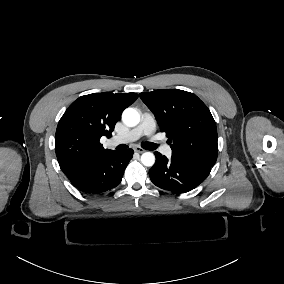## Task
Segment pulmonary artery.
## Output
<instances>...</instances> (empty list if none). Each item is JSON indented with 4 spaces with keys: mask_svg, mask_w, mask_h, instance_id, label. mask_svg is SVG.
Returning <instances> with one entry per match:
<instances>
[{
    "mask_svg": "<svg viewBox=\"0 0 284 284\" xmlns=\"http://www.w3.org/2000/svg\"><path fill=\"white\" fill-rule=\"evenodd\" d=\"M155 130V121L148 114H144L140 124L125 133L114 135L110 141L114 144L128 143L143 135H150Z\"/></svg>",
    "mask_w": 284,
    "mask_h": 284,
    "instance_id": "obj_1",
    "label": "pulmonary artery"
}]
</instances>
